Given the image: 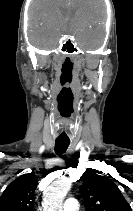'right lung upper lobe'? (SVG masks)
Masks as SVG:
<instances>
[{
	"mask_svg": "<svg viewBox=\"0 0 133 211\" xmlns=\"http://www.w3.org/2000/svg\"><path fill=\"white\" fill-rule=\"evenodd\" d=\"M37 182L32 173L11 182L0 197V211H32Z\"/></svg>",
	"mask_w": 133,
	"mask_h": 211,
	"instance_id": "obj_1",
	"label": "right lung upper lobe"
}]
</instances>
